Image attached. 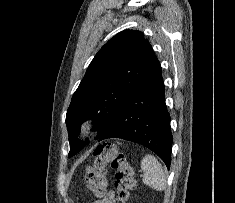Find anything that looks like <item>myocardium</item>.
Returning <instances> with one entry per match:
<instances>
[{
  "label": "myocardium",
  "mask_w": 235,
  "mask_h": 203,
  "mask_svg": "<svg viewBox=\"0 0 235 203\" xmlns=\"http://www.w3.org/2000/svg\"><path fill=\"white\" fill-rule=\"evenodd\" d=\"M96 127V120L93 117H88L84 119L80 124L81 134L88 136L92 134Z\"/></svg>",
  "instance_id": "myocardium-1"
}]
</instances>
